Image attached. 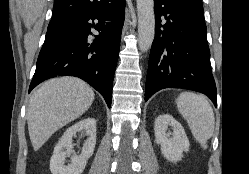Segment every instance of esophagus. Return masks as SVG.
I'll return each mask as SVG.
<instances>
[{
	"label": "esophagus",
	"instance_id": "obj_1",
	"mask_svg": "<svg viewBox=\"0 0 249 174\" xmlns=\"http://www.w3.org/2000/svg\"><path fill=\"white\" fill-rule=\"evenodd\" d=\"M129 18V14L126 13V23H125V26H124V32L127 30V20Z\"/></svg>",
	"mask_w": 249,
	"mask_h": 174
}]
</instances>
